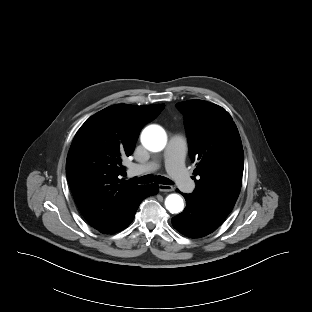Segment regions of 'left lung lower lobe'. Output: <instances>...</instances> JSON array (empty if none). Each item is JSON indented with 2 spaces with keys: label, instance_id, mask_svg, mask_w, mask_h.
I'll list each match as a JSON object with an SVG mask.
<instances>
[{
  "label": "left lung lower lobe",
  "instance_id": "0a47b994",
  "mask_svg": "<svg viewBox=\"0 0 312 312\" xmlns=\"http://www.w3.org/2000/svg\"><path fill=\"white\" fill-rule=\"evenodd\" d=\"M187 206L172 218L173 227L191 238L206 236L217 229L227 215L196 201L190 194H184Z\"/></svg>",
  "mask_w": 312,
  "mask_h": 312
}]
</instances>
